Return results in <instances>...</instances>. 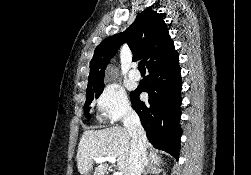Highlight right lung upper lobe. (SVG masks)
<instances>
[{"label": "right lung upper lobe", "instance_id": "right-lung-upper-lobe-1", "mask_svg": "<svg viewBox=\"0 0 251 175\" xmlns=\"http://www.w3.org/2000/svg\"><path fill=\"white\" fill-rule=\"evenodd\" d=\"M125 42L134 53L133 60L145 59L148 69L167 63L178 56L163 14L146 9L138 14L126 31L104 39L96 47L90 62L88 88L104 86L105 68L120 45Z\"/></svg>", "mask_w": 251, "mask_h": 175}]
</instances>
